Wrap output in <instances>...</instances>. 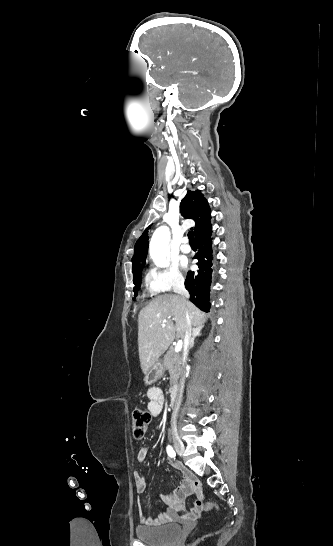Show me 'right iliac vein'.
Masks as SVG:
<instances>
[{
  "mask_svg": "<svg viewBox=\"0 0 333 546\" xmlns=\"http://www.w3.org/2000/svg\"><path fill=\"white\" fill-rule=\"evenodd\" d=\"M174 448L176 452L181 456L185 452V446L183 442L180 440V438L177 435H174L172 438Z\"/></svg>",
  "mask_w": 333,
  "mask_h": 546,
  "instance_id": "obj_1",
  "label": "right iliac vein"
}]
</instances>
